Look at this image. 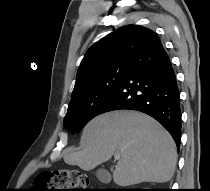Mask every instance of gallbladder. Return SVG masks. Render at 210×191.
<instances>
[{
	"mask_svg": "<svg viewBox=\"0 0 210 191\" xmlns=\"http://www.w3.org/2000/svg\"><path fill=\"white\" fill-rule=\"evenodd\" d=\"M106 173H107L106 171L99 170L98 173H97V176H98L99 178H101V176H102L103 174H106ZM109 180H110V179H109Z\"/></svg>",
	"mask_w": 210,
	"mask_h": 191,
	"instance_id": "bac80fb5",
	"label": "gallbladder"
}]
</instances>
